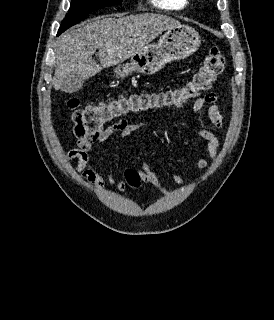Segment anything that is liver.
Listing matches in <instances>:
<instances>
[{
  "instance_id": "liver-1",
  "label": "liver",
  "mask_w": 274,
  "mask_h": 320,
  "mask_svg": "<svg viewBox=\"0 0 274 320\" xmlns=\"http://www.w3.org/2000/svg\"><path fill=\"white\" fill-rule=\"evenodd\" d=\"M179 26L177 20L161 14H137L119 18L118 14L99 16L81 22L59 36L55 90L77 92L83 80L95 76L102 68L122 64L128 58L150 48L159 34ZM96 50L100 64L92 60Z\"/></svg>"
}]
</instances>
